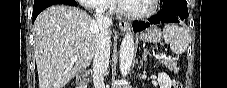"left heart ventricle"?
<instances>
[{
    "mask_svg": "<svg viewBox=\"0 0 227 88\" xmlns=\"http://www.w3.org/2000/svg\"><path fill=\"white\" fill-rule=\"evenodd\" d=\"M150 7V0H133L124 4L125 10L137 13L147 12Z\"/></svg>",
    "mask_w": 227,
    "mask_h": 88,
    "instance_id": "b2bd125f",
    "label": "left heart ventricle"
}]
</instances>
